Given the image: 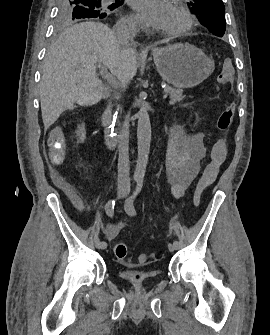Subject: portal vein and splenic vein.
I'll list each match as a JSON object with an SVG mask.
<instances>
[{
  "label": "portal vein and splenic vein",
  "mask_w": 270,
  "mask_h": 335,
  "mask_svg": "<svg viewBox=\"0 0 270 335\" xmlns=\"http://www.w3.org/2000/svg\"><path fill=\"white\" fill-rule=\"evenodd\" d=\"M94 65L95 66L99 65V69L101 70L99 72V75L101 76V79L103 81H105V83L107 85H110L112 88H115V87L119 86L118 80L116 78H114V76L112 74H110V72L108 70H105L104 62L95 61ZM165 92H166V90H165ZM165 92L162 94L163 95V100H166V98H168V94L165 93Z\"/></svg>",
  "instance_id": "1"
}]
</instances>
